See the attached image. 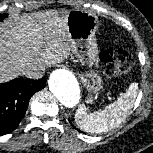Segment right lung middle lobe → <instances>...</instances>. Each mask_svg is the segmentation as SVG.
I'll list each match as a JSON object with an SVG mask.
<instances>
[{"mask_svg": "<svg viewBox=\"0 0 153 153\" xmlns=\"http://www.w3.org/2000/svg\"><path fill=\"white\" fill-rule=\"evenodd\" d=\"M6 16H7V14H0V21H2L3 18L6 17Z\"/></svg>", "mask_w": 153, "mask_h": 153, "instance_id": "right-lung-middle-lobe-1", "label": "right lung middle lobe"}]
</instances>
